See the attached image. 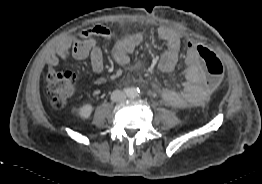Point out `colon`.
<instances>
[{
  "mask_svg": "<svg viewBox=\"0 0 262 184\" xmlns=\"http://www.w3.org/2000/svg\"><path fill=\"white\" fill-rule=\"evenodd\" d=\"M195 56L202 62L206 72V83L210 89L217 88L224 77V66L218 56L207 46L198 44L194 47ZM75 78L71 71H54L47 77V91L51 105L63 108L73 93Z\"/></svg>",
  "mask_w": 262,
  "mask_h": 184,
  "instance_id": "5ec220e1",
  "label": "colon"
}]
</instances>
